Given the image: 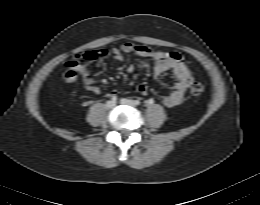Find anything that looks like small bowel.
Listing matches in <instances>:
<instances>
[{
    "mask_svg": "<svg viewBox=\"0 0 260 205\" xmlns=\"http://www.w3.org/2000/svg\"><path fill=\"white\" fill-rule=\"evenodd\" d=\"M124 53L151 59L153 61L152 72L155 76H158L165 71L172 70L175 74L176 81L171 92L164 96L162 101L163 104L169 108L182 103L186 90L193 82V75L178 52L154 51L147 46L133 43H124L120 47L111 50L112 57L118 61L122 60ZM106 55L107 51L105 50L102 57H105ZM134 69L135 67L133 64H130L127 67L128 72H133ZM78 80L82 81L89 92L93 94L100 93V88L95 84L94 79L85 67L79 65L74 59L67 61L64 64L63 72L60 74L59 83L68 84ZM137 91L140 94L145 95L147 93V88L144 85H140L137 87ZM111 94H115V92H111Z\"/></svg>",
    "mask_w": 260,
    "mask_h": 205,
    "instance_id": "small-bowel-1",
    "label": "small bowel"
}]
</instances>
